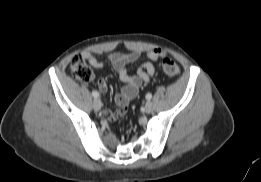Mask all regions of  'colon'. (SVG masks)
<instances>
[{
	"label": "colon",
	"instance_id": "1",
	"mask_svg": "<svg viewBox=\"0 0 261 182\" xmlns=\"http://www.w3.org/2000/svg\"><path fill=\"white\" fill-rule=\"evenodd\" d=\"M162 69L165 74L171 77L177 76L180 72L178 65L170 58L163 59ZM70 71L75 79L82 82L90 81L93 78V71L90 65L79 55L72 58Z\"/></svg>",
	"mask_w": 261,
	"mask_h": 182
}]
</instances>
